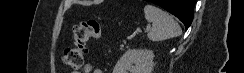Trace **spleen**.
<instances>
[{"label": "spleen", "instance_id": "3e777b00", "mask_svg": "<svg viewBox=\"0 0 244 73\" xmlns=\"http://www.w3.org/2000/svg\"><path fill=\"white\" fill-rule=\"evenodd\" d=\"M144 15L145 19L152 23V28L147 34L151 41H163L181 35L182 29L179 24L160 8L148 4L144 7Z\"/></svg>", "mask_w": 244, "mask_h": 73}]
</instances>
